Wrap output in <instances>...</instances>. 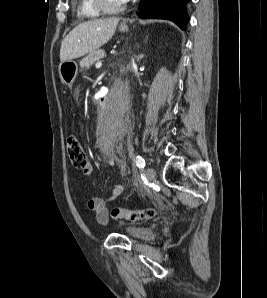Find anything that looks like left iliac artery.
I'll list each match as a JSON object with an SVG mask.
<instances>
[{
	"label": "left iliac artery",
	"mask_w": 267,
	"mask_h": 298,
	"mask_svg": "<svg viewBox=\"0 0 267 298\" xmlns=\"http://www.w3.org/2000/svg\"><path fill=\"white\" fill-rule=\"evenodd\" d=\"M136 165L139 169H143L145 167V160L142 156H136Z\"/></svg>",
	"instance_id": "44dca946"
}]
</instances>
